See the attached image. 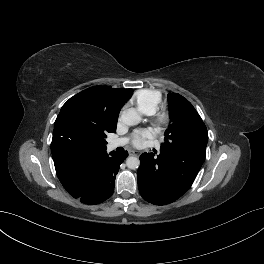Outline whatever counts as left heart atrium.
<instances>
[{
  "label": "left heart atrium",
  "instance_id": "obj_1",
  "mask_svg": "<svg viewBox=\"0 0 264 264\" xmlns=\"http://www.w3.org/2000/svg\"><path fill=\"white\" fill-rule=\"evenodd\" d=\"M151 137V133L146 130H139L134 133L133 145L136 147H141L144 142Z\"/></svg>",
  "mask_w": 264,
  "mask_h": 264
}]
</instances>
